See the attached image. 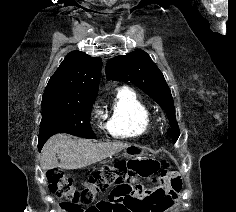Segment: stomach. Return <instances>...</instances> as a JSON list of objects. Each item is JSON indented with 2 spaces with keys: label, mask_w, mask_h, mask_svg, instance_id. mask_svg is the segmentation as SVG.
<instances>
[{
  "label": "stomach",
  "mask_w": 236,
  "mask_h": 212,
  "mask_svg": "<svg viewBox=\"0 0 236 212\" xmlns=\"http://www.w3.org/2000/svg\"><path fill=\"white\" fill-rule=\"evenodd\" d=\"M147 149L145 147L139 146V145H129L124 149L123 155L125 157H135L140 158L144 155H146Z\"/></svg>",
  "instance_id": "0dacf381"
}]
</instances>
